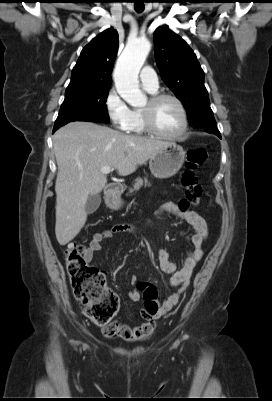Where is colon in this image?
I'll list each match as a JSON object with an SVG mask.
<instances>
[{
	"label": "colon",
	"instance_id": "colon-1",
	"mask_svg": "<svg viewBox=\"0 0 272 401\" xmlns=\"http://www.w3.org/2000/svg\"><path fill=\"white\" fill-rule=\"evenodd\" d=\"M208 156L205 146L194 148L187 153L185 170L181 185L185 189L187 202L197 205L202 195V188L195 174L196 169L204 164ZM85 247L71 242L65 249L66 269L71 287L77 301L85 306L86 316L97 326L103 328L106 336H111V321L118 310L117 295L105 285L104 274L85 259ZM138 288L143 293V313L152 315L158 311L157 290L154 285L140 283Z\"/></svg>",
	"mask_w": 272,
	"mask_h": 401
}]
</instances>
